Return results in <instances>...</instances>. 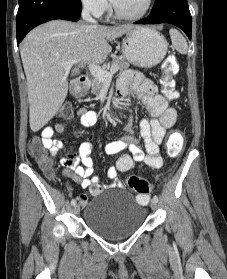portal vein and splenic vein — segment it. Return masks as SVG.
Masks as SVG:
<instances>
[{
	"label": "portal vein and splenic vein",
	"mask_w": 227,
	"mask_h": 279,
	"mask_svg": "<svg viewBox=\"0 0 227 279\" xmlns=\"http://www.w3.org/2000/svg\"><path fill=\"white\" fill-rule=\"evenodd\" d=\"M77 62L78 60L71 59L61 63V66H63L65 70H69ZM89 70L94 78H97L103 82H111L112 76L118 71V67L114 65L111 67L110 71H107L98 65L90 64Z\"/></svg>",
	"instance_id": "1"
}]
</instances>
